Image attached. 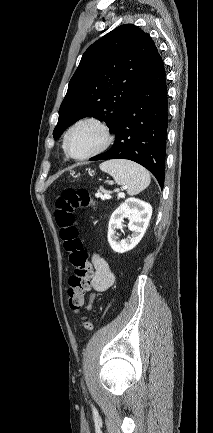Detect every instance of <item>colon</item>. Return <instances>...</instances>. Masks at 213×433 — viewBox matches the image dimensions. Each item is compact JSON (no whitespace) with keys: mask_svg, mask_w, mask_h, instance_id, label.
I'll list each match as a JSON object with an SVG mask.
<instances>
[{"mask_svg":"<svg viewBox=\"0 0 213 433\" xmlns=\"http://www.w3.org/2000/svg\"><path fill=\"white\" fill-rule=\"evenodd\" d=\"M55 207V221L59 227V235L69 262L74 267V273L68 280L67 302L69 309L77 313L82 309L85 295L91 288L93 272L78 229L74 225L75 212L83 209L88 213L94 207V202L87 190L67 188L56 199ZM84 328L92 330V322L86 320Z\"/></svg>","mask_w":213,"mask_h":433,"instance_id":"1","label":"colon"}]
</instances>
